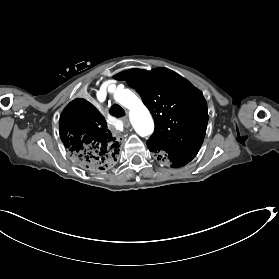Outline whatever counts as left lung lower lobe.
Wrapping results in <instances>:
<instances>
[{"label": "left lung lower lobe", "instance_id": "left-lung-lower-lobe-1", "mask_svg": "<svg viewBox=\"0 0 279 279\" xmlns=\"http://www.w3.org/2000/svg\"><path fill=\"white\" fill-rule=\"evenodd\" d=\"M149 150L158 155V159L167 160L174 168L182 167L190 162L198 152L187 150L163 149L147 143Z\"/></svg>", "mask_w": 279, "mask_h": 279}]
</instances>
